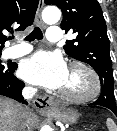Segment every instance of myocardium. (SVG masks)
Wrapping results in <instances>:
<instances>
[{"label": "myocardium", "mask_w": 117, "mask_h": 131, "mask_svg": "<svg viewBox=\"0 0 117 131\" xmlns=\"http://www.w3.org/2000/svg\"><path fill=\"white\" fill-rule=\"evenodd\" d=\"M75 69L82 71L87 76L89 81L88 89L81 94H73L60 89L58 91L59 96L74 103H85L95 99L101 90V82L97 72L87 64L79 61L70 64L69 70Z\"/></svg>", "instance_id": "obj_1"}]
</instances>
